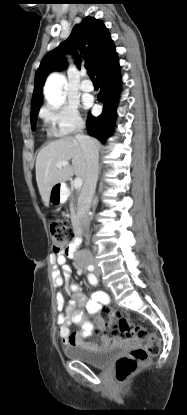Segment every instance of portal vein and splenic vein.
<instances>
[{
	"label": "portal vein and splenic vein",
	"instance_id": "portal-vein-and-splenic-vein-1",
	"mask_svg": "<svg viewBox=\"0 0 187 415\" xmlns=\"http://www.w3.org/2000/svg\"><path fill=\"white\" fill-rule=\"evenodd\" d=\"M67 165H69L68 161H62V162H59V163L56 164V166L59 167V168H61L63 166H67ZM82 184H83V181H82L81 178H79V177L75 178L74 183H73V186H74L75 189H80Z\"/></svg>",
	"mask_w": 187,
	"mask_h": 415
}]
</instances>
